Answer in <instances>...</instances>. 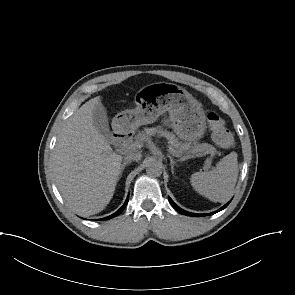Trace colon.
<instances>
[{"label":"colon","mask_w":295,"mask_h":295,"mask_svg":"<svg viewBox=\"0 0 295 295\" xmlns=\"http://www.w3.org/2000/svg\"><path fill=\"white\" fill-rule=\"evenodd\" d=\"M207 123L211 131L213 141L221 148H230L233 143V136L226 128L223 119L214 111L207 114Z\"/></svg>","instance_id":"5ec220e1"}]
</instances>
